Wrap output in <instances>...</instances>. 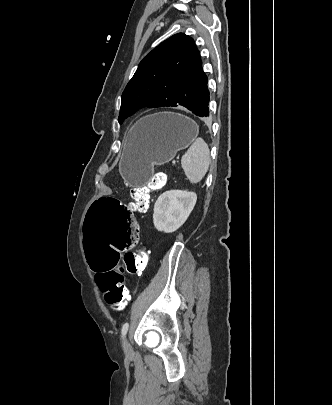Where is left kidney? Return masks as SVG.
<instances>
[{
  "label": "left kidney",
  "mask_w": 332,
  "mask_h": 405,
  "mask_svg": "<svg viewBox=\"0 0 332 405\" xmlns=\"http://www.w3.org/2000/svg\"><path fill=\"white\" fill-rule=\"evenodd\" d=\"M197 200L194 192L170 190L159 196L154 205L153 223L158 231L172 233L180 228Z\"/></svg>",
  "instance_id": "left-kidney-1"
}]
</instances>
